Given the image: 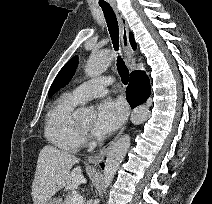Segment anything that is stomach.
<instances>
[{
  "instance_id": "0dacf381",
  "label": "stomach",
  "mask_w": 212,
  "mask_h": 204,
  "mask_svg": "<svg viewBox=\"0 0 212 204\" xmlns=\"http://www.w3.org/2000/svg\"><path fill=\"white\" fill-rule=\"evenodd\" d=\"M45 204H61L58 199H49Z\"/></svg>"
}]
</instances>
